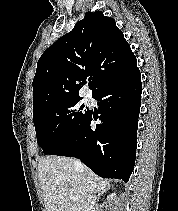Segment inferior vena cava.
<instances>
[{
    "label": "inferior vena cava",
    "instance_id": "inferior-vena-cava-1",
    "mask_svg": "<svg viewBox=\"0 0 178 211\" xmlns=\"http://www.w3.org/2000/svg\"><path fill=\"white\" fill-rule=\"evenodd\" d=\"M75 166L80 170L83 169V165L79 160L75 161ZM95 200H96V197L94 196V193L91 191L87 197L86 211H93Z\"/></svg>",
    "mask_w": 178,
    "mask_h": 211
}]
</instances>
